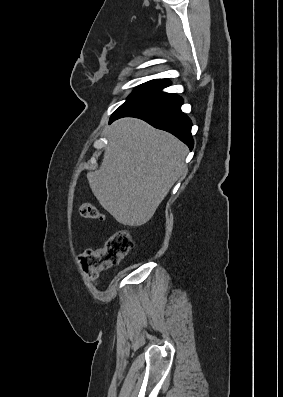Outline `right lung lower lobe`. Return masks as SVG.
Instances as JSON below:
<instances>
[{"label":"right lung lower lobe","mask_w":283,"mask_h":397,"mask_svg":"<svg viewBox=\"0 0 283 397\" xmlns=\"http://www.w3.org/2000/svg\"><path fill=\"white\" fill-rule=\"evenodd\" d=\"M182 104L180 96L160 91L126 107L112 116L109 123L122 117L140 118L155 128L172 133L192 150V122L181 111Z\"/></svg>","instance_id":"obj_1"}]
</instances>
